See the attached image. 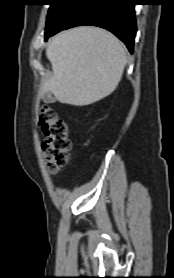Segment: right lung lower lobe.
Listing matches in <instances>:
<instances>
[{"instance_id":"1","label":"right lung lower lobe","mask_w":174,"mask_h":278,"mask_svg":"<svg viewBox=\"0 0 174 278\" xmlns=\"http://www.w3.org/2000/svg\"><path fill=\"white\" fill-rule=\"evenodd\" d=\"M134 1L78 0L55 27L45 32V40L71 27L94 25L114 33L132 53L137 31Z\"/></svg>"}]
</instances>
